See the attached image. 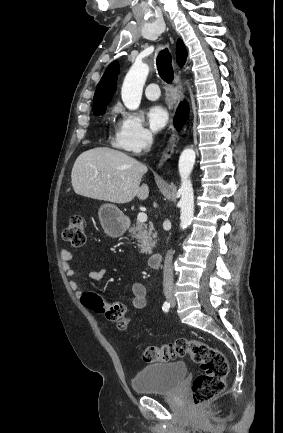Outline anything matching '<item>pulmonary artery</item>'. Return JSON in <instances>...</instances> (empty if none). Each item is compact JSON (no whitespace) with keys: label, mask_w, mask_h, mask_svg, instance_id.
<instances>
[{"label":"pulmonary artery","mask_w":283,"mask_h":433,"mask_svg":"<svg viewBox=\"0 0 283 433\" xmlns=\"http://www.w3.org/2000/svg\"><path fill=\"white\" fill-rule=\"evenodd\" d=\"M145 96L149 100H157L160 97V90L156 83H149L145 88Z\"/></svg>","instance_id":"pulmonary-artery-1"}]
</instances>
